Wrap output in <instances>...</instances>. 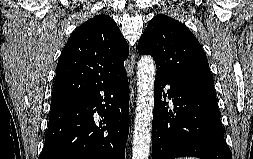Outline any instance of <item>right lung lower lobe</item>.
Masks as SVG:
<instances>
[{
  "label": "right lung lower lobe",
  "mask_w": 253,
  "mask_h": 159,
  "mask_svg": "<svg viewBox=\"0 0 253 159\" xmlns=\"http://www.w3.org/2000/svg\"><path fill=\"white\" fill-rule=\"evenodd\" d=\"M128 133L129 83L124 70L50 113L39 159H125Z\"/></svg>",
  "instance_id": "98d812e1"
}]
</instances>
